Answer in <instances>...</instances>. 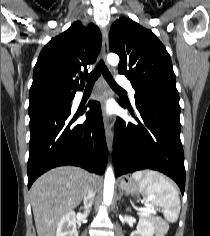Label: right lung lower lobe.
<instances>
[{
    "mask_svg": "<svg viewBox=\"0 0 210 236\" xmlns=\"http://www.w3.org/2000/svg\"><path fill=\"white\" fill-rule=\"evenodd\" d=\"M88 107L86 121L74 127L71 124L78 115L70 116L69 104L29 113L28 188L38 176L62 165H76L90 172L104 173L108 153L101 109L95 101H90Z\"/></svg>",
    "mask_w": 210,
    "mask_h": 236,
    "instance_id": "1",
    "label": "right lung lower lobe"
}]
</instances>
